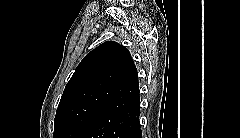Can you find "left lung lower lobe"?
<instances>
[{
	"mask_svg": "<svg viewBox=\"0 0 240 138\" xmlns=\"http://www.w3.org/2000/svg\"><path fill=\"white\" fill-rule=\"evenodd\" d=\"M139 84L135 64L83 138H142Z\"/></svg>",
	"mask_w": 240,
	"mask_h": 138,
	"instance_id": "0a47b994",
	"label": "left lung lower lobe"
}]
</instances>
